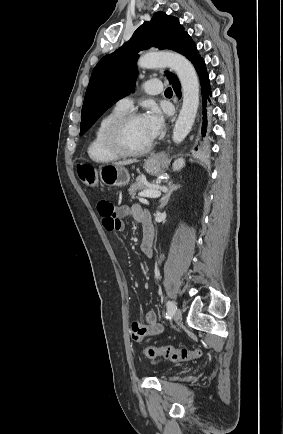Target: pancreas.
<instances>
[{
    "mask_svg": "<svg viewBox=\"0 0 283 434\" xmlns=\"http://www.w3.org/2000/svg\"><path fill=\"white\" fill-rule=\"evenodd\" d=\"M146 189H147V180H146V178L143 177V176H139L136 179V182L130 186V188H129L128 191H129L131 197L135 198L136 193L138 191L146 190Z\"/></svg>",
    "mask_w": 283,
    "mask_h": 434,
    "instance_id": "cf45deb5",
    "label": "pancreas"
}]
</instances>
